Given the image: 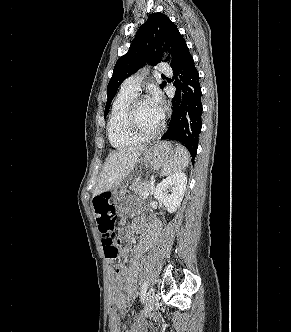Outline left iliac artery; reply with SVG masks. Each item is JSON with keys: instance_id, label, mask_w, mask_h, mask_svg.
<instances>
[{"instance_id": "left-iliac-artery-1", "label": "left iliac artery", "mask_w": 291, "mask_h": 332, "mask_svg": "<svg viewBox=\"0 0 291 332\" xmlns=\"http://www.w3.org/2000/svg\"><path fill=\"white\" fill-rule=\"evenodd\" d=\"M146 291H147V283L144 282L142 284V287H141V294H140V298H141V302L144 303V300H145V296H146Z\"/></svg>"}]
</instances>
